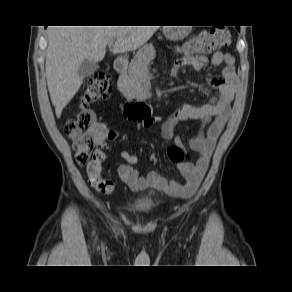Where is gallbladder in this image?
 Segmentation results:
<instances>
[{"instance_id": "gallbladder-1", "label": "gallbladder", "mask_w": 292, "mask_h": 292, "mask_svg": "<svg viewBox=\"0 0 292 292\" xmlns=\"http://www.w3.org/2000/svg\"><path fill=\"white\" fill-rule=\"evenodd\" d=\"M98 69L97 63H94L90 60H84L78 68V74L82 78L89 77L95 73Z\"/></svg>"}]
</instances>
